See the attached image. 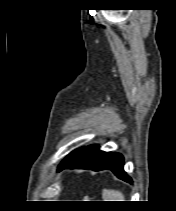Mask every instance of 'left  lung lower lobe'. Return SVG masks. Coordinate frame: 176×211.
Masks as SVG:
<instances>
[{
	"label": "left lung lower lobe",
	"instance_id": "0a47b994",
	"mask_svg": "<svg viewBox=\"0 0 176 211\" xmlns=\"http://www.w3.org/2000/svg\"><path fill=\"white\" fill-rule=\"evenodd\" d=\"M124 159L119 153L100 151L97 145L82 148L80 152L61 163L58 171L65 168L91 169L100 171L110 169L119 179L132 182L124 171Z\"/></svg>",
	"mask_w": 176,
	"mask_h": 211
}]
</instances>
